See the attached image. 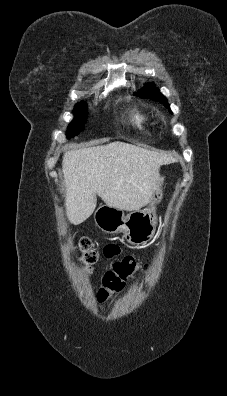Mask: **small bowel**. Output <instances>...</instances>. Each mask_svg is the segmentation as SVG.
<instances>
[{"label": "small bowel", "mask_w": 227, "mask_h": 396, "mask_svg": "<svg viewBox=\"0 0 227 396\" xmlns=\"http://www.w3.org/2000/svg\"><path fill=\"white\" fill-rule=\"evenodd\" d=\"M119 247L115 244H109L104 248V254L108 257H112L119 253Z\"/></svg>", "instance_id": "c3829d8e"}]
</instances>
